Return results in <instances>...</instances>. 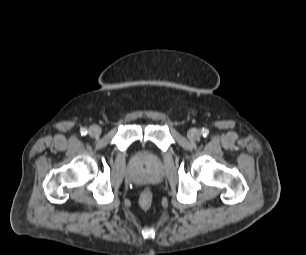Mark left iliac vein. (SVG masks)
<instances>
[{"label":"left iliac vein","instance_id":"1","mask_svg":"<svg viewBox=\"0 0 306 255\" xmlns=\"http://www.w3.org/2000/svg\"><path fill=\"white\" fill-rule=\"evenodd\" d=\"M187 137L192 140V141H196L198 139H200L201 137V133L199 130L197 129H190L187 133Z\"/></svg>","mask_w":306,"mask_h":255}]
</instances>
